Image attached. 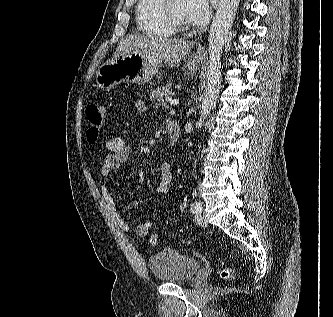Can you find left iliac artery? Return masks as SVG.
Here are the masks:
<instances>
[{
    "label": "left iliac artery",
    "mask_w": 333,
    "mask_h": 317,
    "mask_svg": "<svg viewBox=\"0 0 333 317\" xmlns=\"http://www.w3.org/2000/svg\"><path fill=\"white\" fill-rule=\"evenodd\" d=\"M191 211L192 213H196L198 211H201V203L199 201H195L191 205Z\"/></svg>",
    "instance_id": "1"
}]
</instances>
